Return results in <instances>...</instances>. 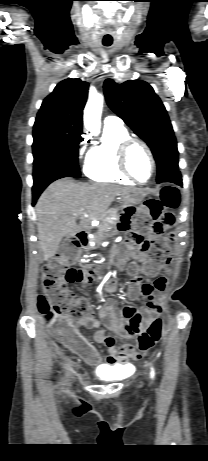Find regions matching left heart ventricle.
Here are the masks:
<instances>
[{"label": "left heart ventricle", "instance_id": "obj_1", "mask_svg": "<svg viewBox=\"0 0 208 461\" xmlns=\"http://www.w3.org/2000/svg\"><path fill=\"white\" fill-rule=\"evenodd\" d=\"M131 172L140 181H146L151 174V162L146 151L139 145L134 146L128 157Z\"/></svg>", "mask_w": 208, "mask_h": 461}]
</instances>
